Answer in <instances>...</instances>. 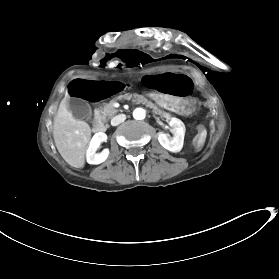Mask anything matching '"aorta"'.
I'll use <instances>...</instances> for the list:
<instances>
[{
  "instance_id": "aorta-1",
  "label": "aorta",
  "mask_w": 279,
  "mask_h": 279,
  "mask_svg": "<svg viewBox=\"0 0 279 279\" xmlns=\"http://www.w3.org/2000/svg\"><path fill=\"white\" fill-rule=\"evenodd\" d=\"M145 110L142 109V108H136L134 111H133V117L137 120H142L145 118Z\"/></svg>"
}]
</instances>
